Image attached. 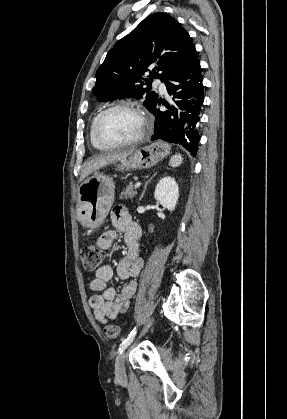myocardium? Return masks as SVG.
I'll return each mask as SVG.
<instances>
[{
  "label": "myocardium",
  "mask_w": 287,
  "mask_h": 419,
  "mask_svg": "<svg viewBox=\"0 0 287 419\" xmlns=\"http://www.w3.org/2000/svg\"><path fill=\"white\" fill-rule=\"evenodd\" d=\"M116 109H128V110H132L135 113L138 114V116L140 117L141 120V128L139 130V132L131 139L125 140V141H119V142H112V141H108L106 139H104L101 134H100V125L102 120L104 119V117L111 111L116 110ZM148 130V119L146 117V115L143 113V111L138 108L136 105H134L133 103L129 102V101H119L116 102L110 106H108L107 108H105L104 110H102L94 123V136L96 138V140L103 146L108 147V148H119V147H124V146H129V145H133L138 143L139 141H141L144 136L146 135Z\"/></svg>",
  "instance_id": "f54148a6"
}]
</instances>
